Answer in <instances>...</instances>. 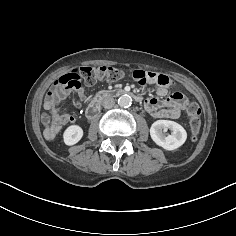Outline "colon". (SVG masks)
I'll list each match as a JSON object with an SVG mask.
<instances>
[{
	"label": "colon",
	"mask_w": 236,
	"mask_h": 236,
	"mask_svg": "<svg viewBox=\"0 0 236 236\" xmlns=\"http://www.w3.org/2000/svg\"><path fill=\"white\" fill-rule=\"evenodd\" d=\"M125 76L121 69L110 66H84L70 71L61 76L50 90V95L59 100L63 98L67 90L79 89L82 83L93 85L99 80L117 81ZM133 77L142 85L146 84L149 75L143 71H134ZM190 117L191 138L196 140L201 127V109L197 103H190L187 107Z\"/></svg>",
	"instance_id": "colon-1"
}]
</instances>
